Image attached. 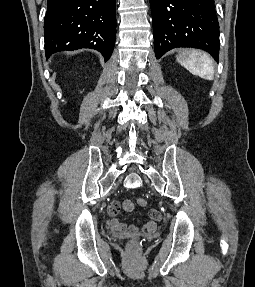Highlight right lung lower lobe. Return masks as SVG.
<instances>
[{"label":"right lung lower lobe","instance_id":"obj_1","mask_svg":"<svg viewBox=\"0 0 255 287\" xmlns=\"http://www.w3.org/2000/svg\"><path fill=\"white\" fill-rule=\"evenodd\" d=\"M44 37L46 57L92 48L107 61L116 39V0H48Z\"/></svg>","mask_w":255,"mask_h":287}]
</instances>
